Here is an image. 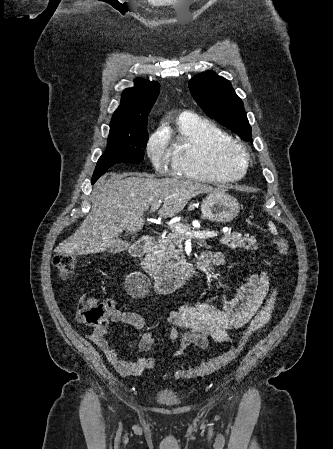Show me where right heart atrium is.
Returning <instances> with one entry per match:
<instances>
[{"label":"right heart atrium","mask_w":333,"mask_h":449,"mask_svg":"<svg viewBox=\"0 0 333 449\" xmlns=\"http://www.w3.org/2000/svg\"><path fill=\"white\" fill-rule=\"evenodd\" d=\"M146 152L153 166L159 172H164L171 162L167 140L160 133H154L150 136L146 145Z\"/></svg>","instance_id":"1"}]
</instances>
